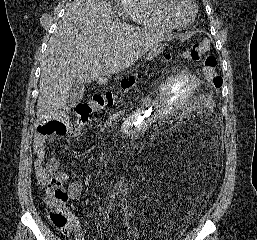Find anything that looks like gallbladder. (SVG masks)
<instances>
[{
  "instance_id": "gallbladder-1",
  "label": "gallbladder",
  "mask_w": 257,
  "mask_h": 240,
  "mask_svg": "<svg viewBox=\"0 0 257 240\" xmlns=\"http://www.w3.org/2000/svg\"><path fill=\"white\" fill-rule=\"evenodd\" d=\"M85 91V84L78 81L73 80L70 88L69 97L67 99V105L69 107H75L78 103L81 102Z\"/></svg>"
}]
</instances>
